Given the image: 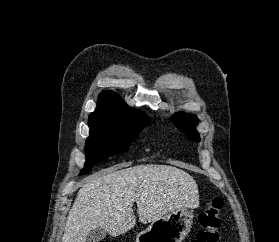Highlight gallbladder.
<instances>
[{
  "instance_id": "obj_1",
  "label": "gallbladder",
  "mask_w": 279,
  "mask_h": 242,
  "mask_svg": "<svg viewBox=\"0 0 279 242\" xmlns=\"http://www.w3.org/2000/svg\"><path fill=\"white\" fill-rule=\"evenodd\" d=\"M105 237H106V231L101 228H96L88 234L86 238V242H100Z\"/></svg>"
}]
</instances>
